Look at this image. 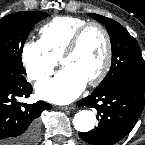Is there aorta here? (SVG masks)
I'll return each instance as SVG.
<instances>
[{"mask_svg": "<svg viewBox=\"0 0 145 145\" xmlns=\"http://www.w3.org/2000/svg\"><path fill=\"white\" fill-rule=\"evenodd\" d=\"M96 124V115L90 110H81L75 114L73 125L79 132H89Z\"/></svg>", "mask_w": 145, "mask_h": 145, "instance_id": "aorta-1", "label": "aorta"}]
</instances>
